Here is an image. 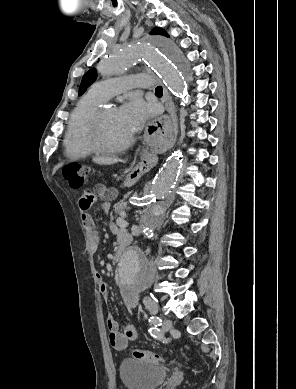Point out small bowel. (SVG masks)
<instances>
[{
  "label": "small bowel",
  "mask_w": 296,
  "mask_h": 389,
  "mask_svg": "<svg viewBox=\"0 0 296 389\" xmlns=\"http://www.w3.org/2000/svg\"><path fill=\"white\" fill-rule=\"evenodd\" d=\"M116 194L117 192L114 188H108L106 186L99 185L95 187L92 192H85L78 201V206L81 212V221L87 231L90 247L93 251H96L98 248L99 237L94 229L93 219L87 212V209L91 206L97 197L105 201L103 208H106L107 202L114 199ZM125 235L129 236V234L124 231H117L118 239ZM98 279L100 281V292L104 298H107L108 285L101 279L99 275ZM144 305L149 310H153L155 308V304L147 298L144 300ZM107 327L109 330V343L114 349L119 351L126 349L128 343L136 340L138 337V331L135 326L127 325L121 331L118 321L113 316H109L107 318Z\"/></svg>",
  "instance_id": "1"
}]
</instances>
